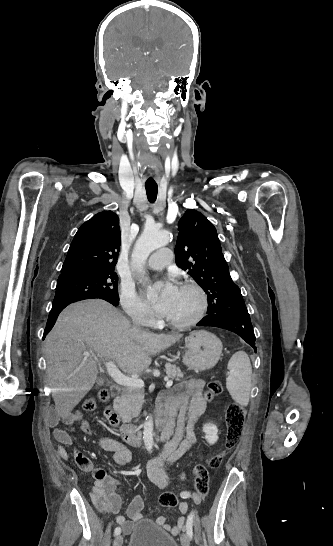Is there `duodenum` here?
Returning a JSON list of instances; mask_svg holds the SVG:
<instances>
[{
	"instance_id": "obj_1",
	"label": "duodenum",
	"mask_w": 333,
	"mask_h": 546,
	"mask_svg": "<svg viewBox=\"0 0 333 546\" xmlns=\"http://www.w3.org/2000/svg\"><path fill=\"white\" fill-rule=\"evenodd\" d=\"M119 395L120 388L118 386L111 387L112 404L105 409V417L110 426L117 428L118 435L122 441L133 446L141 445L144 441V432L141 427L134 425L120 426V415L116 408ZM156 427L161 437H163L167 429V420L164 416L158 417Z\"/></svg>"
}]
</instances>
